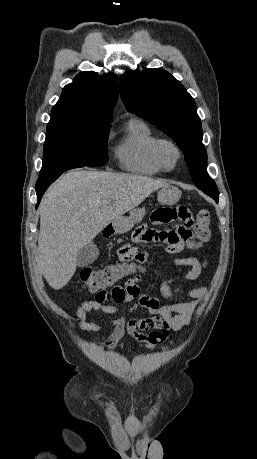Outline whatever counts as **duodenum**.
<instances>
[{
	"mask_svg": "<svg viewBox=\"0 0 257 459\" xmlns=\"http://www.w3.org/2000/svg\"><path fill=\"white\" fill-rule=\"evenodd\" d=\"M106 231H107V236H109V235H111L113 233V230H112L111 226L107 227Z\"/></svg>",
	"mask_w": 257,
	"mask_h": 459,
	"instance_id": "obj_1",
	"label": "duodenum"
}]
</instances>
